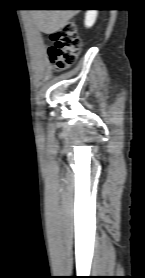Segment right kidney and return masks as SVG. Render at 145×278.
Instances as JSON below:
<instances>
[{"label": "right kidney", "mask_w": 145, "mask_h": 278, "mask_svg": "<svg viewBox=\"0 0 145 278\" xmlns=\"http://www.w3.org/2000/svg\"><path fill=\"white\" fill-rule=\"evenodd\" d=\"M96 17H97L96 10L87 11L86 16H85V26L91 27L95 23Z\"/></svg>", "instance_id": "ca27d5eb"}]
</instances>
